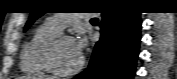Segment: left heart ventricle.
I'll return each mask as SVG.
<instances>
[{
  "instance_id": "obj_1",
  "label": "left heart ventricle",
  "mask_w": 177,
  "mask_h": 79,
  "mask_svg": "<svg viewBox=\"0 0 177 79\" xmlns=\"http://www.w3.org/2000/svg\"><path fill=\"white\" fill-rule=\"evenodd\" d=\"M54 59L58 68L66 71L75 68L79 64L81 56L77 52L74 41L64 40L56 48Z\"/></svg>"
}]
</instances>
